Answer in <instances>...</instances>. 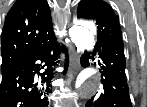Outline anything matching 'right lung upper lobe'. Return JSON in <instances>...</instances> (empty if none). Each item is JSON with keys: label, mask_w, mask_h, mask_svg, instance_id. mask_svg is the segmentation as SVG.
Instances as JSON below:
<instances>
[{"label": "right lung upper lobe", "mask_w": 147, "mask_h": 107, "mask_svg": "<svg viewBox=\"0 0 147 107\" xmlns=\"http://www.w3.org/2000/svg\"><path fill=\"white\" fill-rule=\"evenodd\" d=\"M46 0H17L5 19L1 40V68L54 37Z\"/></svg>", "instance_id": "right-lung-upper-lobe-1"}]
</instances>
